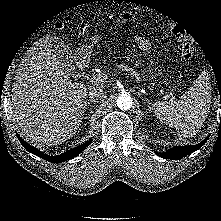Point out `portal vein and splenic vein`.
<instances>
[{
  "mask_svg": "<svg viewBox=\"0 0 221 221\" xmlns=\"http://www.w3.org/2000/svg\"><path fill=\"white\" fill-rule=\"evenodd\" d=\"M119 67L122 69H125V71L131 73V75L134 76L138 82H141L139 74L135 70H133L132 68H129L128 66H124V65H119ZM107 77H108L107 74H99V75H93V76L89 77L88 80L92 84H101L102 82H104L107 79Z\"/></svg>",
  "mask_w": 221,
  "mask_h": 221,
  "instance_id": "18ae733b",
  "label": "portal vein and splenic vein"
}]
</instances>
